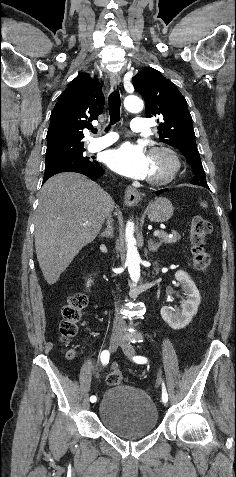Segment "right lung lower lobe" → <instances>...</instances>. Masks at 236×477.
Returning <instances> with one entry per match:
<instances>
[{
    "label": "right lung lower lobe",
    "instance_id": "1",
    "mask_svg": "<svg viewBox=\"0 0 236 477\" xmlns=\"http://www.w3.org/2000/svg\"><path fill=\"white\" fill-rule=\"evenodd\" d=\"M62 172H76V173H80V174H83L87 177H89L90 179H92L93 181L97 180L99 177H101L103 174H104V169L99 165H95L93 168H89V169H86V168H74V169H70V170H67V171H62ZM58 173H61V172H52V173H46L44 175V178H43V183L49 179L51 176L55 175V174H58Z\"/></svg>",
    "mask_w": 236,
    "mask_h": 477
}]
</instances>
